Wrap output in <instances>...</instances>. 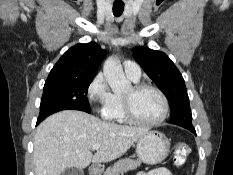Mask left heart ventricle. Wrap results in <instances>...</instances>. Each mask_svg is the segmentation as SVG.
<instances>
[{
    "instance_id": "1",
    "label": "left heart ventricle",
    "mask_w": 233,
    "mask_h": 175,
    "mask_svg": "<svg viewBox=\"0 0 233 175\" xmlns=\"http://www.w3.org/2000/svg\"><path fill=\"white\" fill-rule=\"evenodd\" d=\"M124 95L131 97L134 114L140 120L153 121L162 114L163 104L155 91L146 89L133 93L132 88H130Z\"/></svg>"
}]
</instances>
